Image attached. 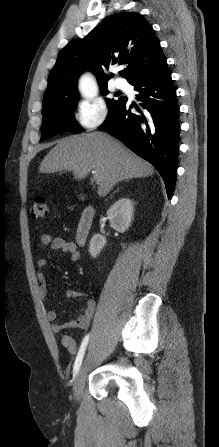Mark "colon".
I'll list each match as a JSON object with an SVG mask.
<instances>
[{"mask_svg": "<svg viewBox=\"0 0 219 447\" xmlns=\"http://www.w3.org/2000/svg\"><path fill=\"white\" fill-rule=\"evenodd\" d=\"M30 214L33 219H45L48 216V207L46 198L43 196H37L34 198Z\"/></svg>", "mask_w": 219, "mask_h": 447, "instance_id": "1", "label": "colon"}]
</instances>
